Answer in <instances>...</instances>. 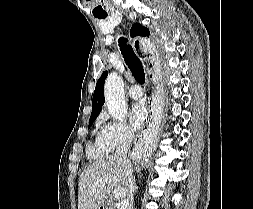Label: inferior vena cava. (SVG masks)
I'll return each mask as SVG.
<instances>
[{
  "label": "inferior vena cava",
  "instance_id": "inferior-vena-cava-1",
  "mask_svg": "<svg viewBox=\"0 0 253 209\" xmlns=\"http://www.w3.org/2000/svg\"><path fill=\"white\" fill-rule=\"evenodd\" d=\"M133 138H134L133 131L129 130V131L125 132L123 138L121 139L120 144L118 145V147L116 149V153H115V156L117 158L123 159V161L128 166L129 197H130L131 201H133V193L135 192V184H134V178H133V170H132V166H131L129 159L127 158V152H128V149L130 148ZM129 209H131V208H129Z\"/></svg>",
  "mask_w": 253,
  "mask_h": 209
}]
</instances>
